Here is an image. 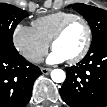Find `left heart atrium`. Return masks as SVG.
I'll list each match as a JSON object with an SVG mask.
<instances>
[{"label":"left heart atrium","mask_w":107,"mask_h":107,"mask_svg":"<svg viewBox=\"0 0 107 107\" xmlns=\"http://www.w3.org/2000/svg\"><path fill=\"white\" fill-rule=\"evenodd\" d=\"M65 60L66 58L56 50H53L47 58V62L51 64L61 63Z\"/></svg>","instance_id":"left-heart-atrium-1"}]
</instances>
